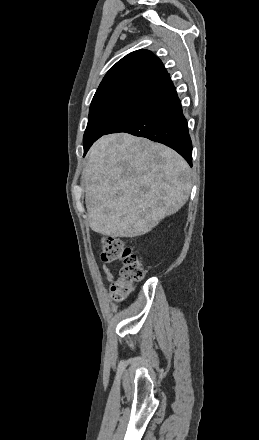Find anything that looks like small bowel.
<instances>
[{"mask_svg":"<svg viewBox=\"0 0 259 440\" xmlns=\"http://www.w3.org/2000/svg\"><path fill=\"white\" fill-rule=\"evenodd\" d=\"M103 273H104L105 277H106L109 281H112V280H113V275H112V273H111L110 268H109L108 265H104V266H103Z\"/></svg>","mask_w":259,"mask_h":440,"instance_id":"obj_1","label":"small bowel"}]
</instances>
